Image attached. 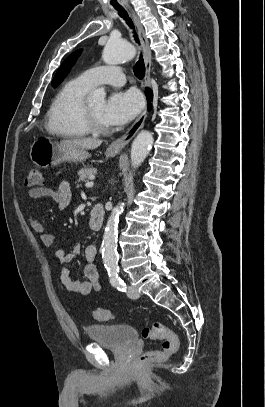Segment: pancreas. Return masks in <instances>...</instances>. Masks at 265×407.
Listing matches in <instances>:
<instances>
[{
  "label": "pancreas",
  "instance_id": "pancreas-1",
  "mask_svg": "<svg viewBox=\"0 0 265 407\" xmlns=\"http://www.w3.org/2000/svg\"><path fill=\"white\" fill-rule=\"evenodd\" d=\"M97 173L95 168H83L78 171L79 181L91 180Z\"/></svg>",
  "mask_w": 265,
  "mask_h": 407
}]
</instances>
